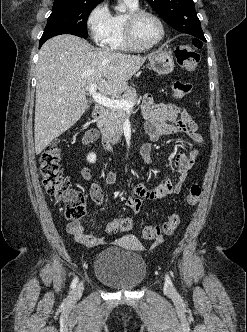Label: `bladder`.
Listing matches in <instances>:
<instances>
[{
  "label": "bladder",
  "instance_id": "obj_1",
  "mask_svg": "<svg viewBox=\"0 0 247 332\" xmlns=\"http://www.w3.org/2000/svg\"><path fill=\"white\" fill-rule=\"evenodd\" d=\"M94 273L98 281L110 288L132 290L144 281L147 265L139 253L114 246L97 255Z\"/></svg>",
  "mask_w": 247,
  "mask_h": 332
}]
</instances>
